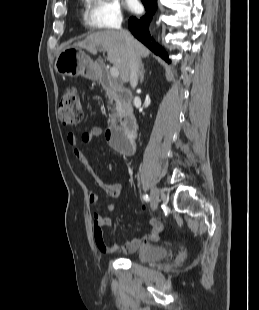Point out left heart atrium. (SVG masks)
Returning <instances> with one entry per match:
<instances>
[{
  "instance_id": "1",
  "label": "left heart atrium",
  "mask_w": 259,
  "mask_h": 310,
  "mask_svg": "<svg viewBox=\"0 0 259 310\" xmlns=\"http://www.w3.org/2000/svg\"><path fill=\"white\" fill-rule=\"evenodd\" d=\"M125 3L130 11H136L140 6L137 0H125Z\"/></svg>"
}]
</instances>
